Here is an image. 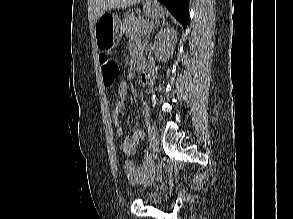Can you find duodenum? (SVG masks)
I'll list each match as a JSON object with an SVG mask.
<instances>
[{
	"mask_svg": "<svg viewBox=\"0 0 293 219\" xmlns=\"http://www.w3.org/2000/svg\"><path fill=\"white\" fill-rule=\"evenodd\" d=\"M137 67L143 73V75L147 77V70L145 65L143 63H138Z\"/></svg>",
	"mask_w": 293,
	"mask_h": 219,
	"instance_id": "duodenum-1",
	"label": "duodenum"
}]
</instances>
